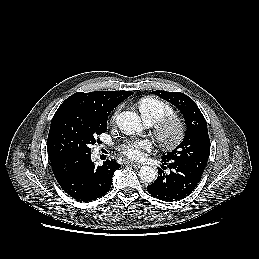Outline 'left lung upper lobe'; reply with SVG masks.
Wrapping results in <instances>:
<instances>
[{
    "instance_id": "5c2ea615",
    "label": "left lung upper lobe",
    "mask_w": 259,
    "mask_h": 259,
    "mask_svg": "<svg viewBox=\"0 0 259 259\" xmlns=\"http://www.w3.org/2000/svg\"><path fill=\"white\" fill-rule=\"evenodd\" d=\"M153 94L175 105L183 114L187 130L183 141L173 151L164 155V161H176L190 165L203 174L210 154L207 122L196 103L180 92L154 91Z\"/></svg>"
}]
</instances>
